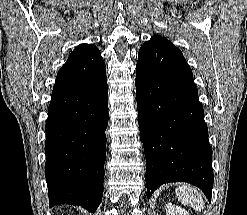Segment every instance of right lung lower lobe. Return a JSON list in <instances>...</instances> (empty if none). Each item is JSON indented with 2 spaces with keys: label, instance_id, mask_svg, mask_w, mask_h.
<instances>
[{
  "label": "right lung lower lobe",
  "instance_id": "right-lung-lower-lobe-1",
  "mask_svg": "<svg viewBox=\"0 0 247 215\" xmlns=\"http://www.w3.org/2000/svg\"><path fill=\"white\" fill-rule=\"evenodd\" d=\"M107 125L106 66L99 50L70 55L57 74L45 127L49 207L97 209L103 196Z\"/></svg>",
  "mask_w": 247,
  "mask_h": 215
}]
</instances>
